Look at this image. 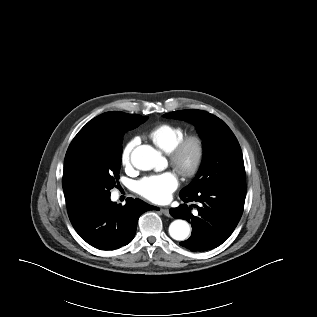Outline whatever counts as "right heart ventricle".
<instances>
[{"mask_svg": "<svg viewBox=\"0 0 317 317\" xmlns=\"http://www.w3.org/2000/svg\"><path fill=\"white\" fill-rule=\"evenodd\" d=\"M185 134V129L181 126L161 123L151 128L147 136L159 149L170 153Z\"/></svg>", "mask_w": 317, "mask_h": 317, "instance_id": "obj_1", "label": "right heart ventricle"}]
</instances>
